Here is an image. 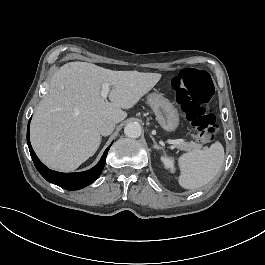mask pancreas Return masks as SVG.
<instances>
[{
	"instance_id": "pancreas-1",
	"label": "pancreas",
	"mask_w": 265,
	"mask_h": 265,
	"mask_svg": "<svg viewBox=\"0 0 265 265\" xmlns=\"http://www.w3.org/2000/svg\"><path fill=\"white\" fill-rule=\"evenodd\" d=\"M175 147L177 149H180V150H184V151H192V150H195V149H201L202 148V144H199V143H196V142H181L180 144H176Z\"/></svg>"
}]
</instances>
